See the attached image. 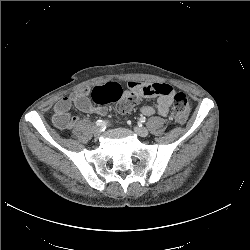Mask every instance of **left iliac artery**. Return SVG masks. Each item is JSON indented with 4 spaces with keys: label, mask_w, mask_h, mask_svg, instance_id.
I'll return each instance as SVG.
<instances>
[{
    "label": "left iliac artery",
    "mask_w": 250,
    "mask_h": 250,
    "mask_svg": "<svg viewBox=\"0 0 250 250\" xmlns=\"http://www.w3.org/2000/svg\"><path fill=\"white\" fill-rule=\"evenodd\" d=\"M139 121L142 122V123H144V122L146 121V118H145V117H141V118L139 119Z\"/></svg>",
    "instance_id": "left-iliac-artery-1"
}]
</instances>
